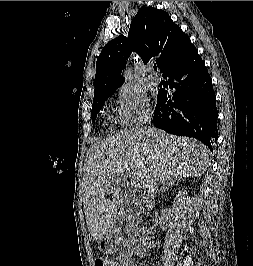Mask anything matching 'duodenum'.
Listing matches in <instances>:
<instances>
[{
    "label": "duodenum",
    "mask_w": 253,
    "mask_h": 266,
    "mask_svg": "<svg viewBox=\"0 0 253 266\" xmlns=\"http://www.w3.org/2000/svg\"><path fill=\"white\" fill-rule=\"evenodd\" d=\"M106 239H107L108 241H112V236H111V235H107V236H106ZM130 263H131V259H130V257H124V258L122 259V264H123V266H130Z\"/></svg>",
    "instance_id": "duodenum-1"
}]
</instances>
